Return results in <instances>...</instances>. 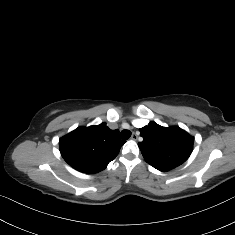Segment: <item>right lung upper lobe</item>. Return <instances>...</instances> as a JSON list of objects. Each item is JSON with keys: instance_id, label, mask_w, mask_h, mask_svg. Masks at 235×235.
<instances>
[{"instance_id": "right-lung-upper-lobe-1", "label": "right lung upper lobe", "mask_w": 235, "mask_h": 235, "mask_svg": "<svg viewBox=\"0 0 235 235\" xmlns=\"http://www.w3.org/2000/svg\"><path fill=\"white\" fill-rule=\"evenodd\" d=\"M125 141L119 130H111L106 123L78 127L59 140L64 160L74 169L94 174L104 170L115 159Z\"/></svg>"}]
</instances>
